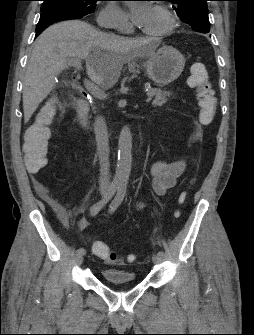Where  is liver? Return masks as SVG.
<instances>
[{
  "label": "liver",
  "instance_id": "1",
  "mask_svg": "<svg viewBox=\"0 0 254 335\" xmlns=\"http://www.w3.org/2000/svg\"><path fill=\"white\" fill-rule=\"evenodd\" d=\"M153 51L150 39L107 34L83 21L51 25L36 39L27 65L23 82L25 122L53 90L68 58L85 59L88 77L109 89L117 83L123 64L148 57Z\"/></svg>",
  "mask_w": 254,
  "mask_h": 335
}]
</instances>
